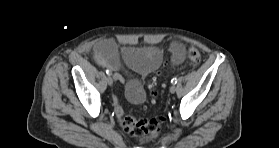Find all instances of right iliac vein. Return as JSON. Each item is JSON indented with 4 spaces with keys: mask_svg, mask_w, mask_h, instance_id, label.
<instances>
[{
    "mask_svg": "<svg viewBox=\"0 0 279 148\" xmlns=\"http://www.w3.org/2000/svg\"><path fill=\"white\" fill-rule=\"evenodd\" d=\"M106 81H107V84H108L109 86H111V85L113 84V79H112L111 76H107Z\"/></svg>",
    "mask_w": 279,
    "mask_h": 148,
    "instance_id": "1",
    "label": "right iliac vein"
}]
</instances>
